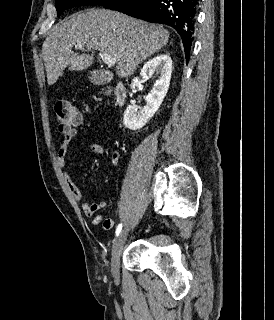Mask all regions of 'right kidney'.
<instances>
[{"label": "right kidney", "mask_w": 274, "mask_h": 320, "mask_svg": "<svg viewBox=\"0 0 274 320\" xmlns=\"http://www.w3.org/2000/svg\"><path fill=\"white\" fill-rule=\"evenodd\" d=\"M172 68V60L169 54H158L156 58H152V60H148V62L144 64L140 72V78H147V76L156 72V74H158V80H156L155 88H153L149 94L146 106H143V108L127 106L123 116L125 128H128V130H140V128L146 126L147 122L153 118L168 92ZM140 78H134V80H132V92H134L135 86L139 84ZM130 96H132V94H130Z\"/></svg>", "instance_id": "right-kidney-1"}]
</instances>
